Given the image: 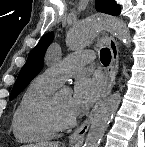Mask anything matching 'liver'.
<instances>
[{
	"instance_id": "6515ba94",
	"label": "liver",
	"mask_w": 145,
	"mask_h": 147,
	"mask_svg": "<svg viewBox=\"0 0 145 147\" xmlns=\"http://www.w3.org/2000/svg\"><path fill=\"white\" fill-rule=\"evenodd\" d=\"M23 147H59L58 142H40L38 144H30Z\"/></svg>"
}]
</instances>
